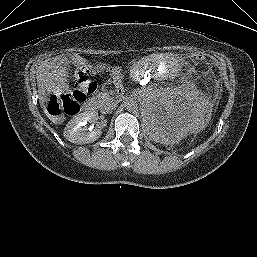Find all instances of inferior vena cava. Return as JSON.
<instances>
[{
	"mask_svg": "<svg viewBox=\"0 0 257 257\" xmlns=\"http://www.w3.org/2000/svg\"><path fill=\"white\" fill-rule=\"evenodd\" d=\"M115 108H116V103H115V102H113V101H107V102L103 105L101 112H102V113H109V112H111V111H112L113 109H115Z\"/></svg>",
	"mask_w": 257,
	"mask_h": 257,
	"instance_id": "obj_1",
	"label": "inferior vena cava"
}]
</instances>
